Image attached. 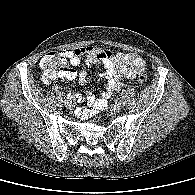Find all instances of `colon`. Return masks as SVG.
Returning a JSON list of instances; mask_svg holds the SVG:
<instances>
[{"instance_id": "colon-1", "label": "colon", "mask_w": 195, "mask_h": 195, "mask_svg": "<svg viewBox=\"0 0 195 195\" xmlns=\"http://www.w3.org/2000/svg\"><path fill=\"white\" fill-rule=\"evenodd\" d=\"M40 67L43 71L44 79L46 81L53 80L67 70L66 58L60 52H50L41 59ZM146 80L147 77L144 74H140L137 78L139 83H145Z\"/></svg>"}]
</instances>
